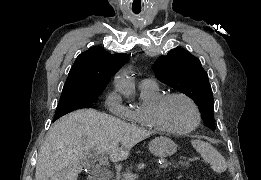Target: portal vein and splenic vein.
Masks as SVG:
<instances>
[{
    "instance_id": "1",
    "label": "portal vein and splenic vein",
    "mask_w": 261,
    "mask_h": 180,
    "mask_svg": "<svg viewBox=\"0 0 261 180\" xmlns=\"http://www.w3.org/2000/svg\"><path fill=\"white\" fill-rule=\"evenodd\" d=\"M89 156H92V158H95L94 154H89ZM100 164H106L107 158L104 156V158H100L99 160ZM173 162H175V159H172V161H163L162 165H156V170H167L168 166H172ZM142 176H145V173H142ZM141 178V175H139L138 172H133L132 174H123V180H136V178Z\"/></svg>"
}]
</instances>
